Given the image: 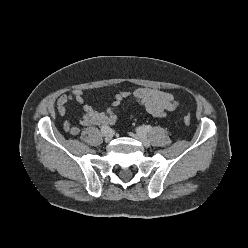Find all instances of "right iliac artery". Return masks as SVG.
<instances>
[{
    "instance_id": "obj_1",
    "label": "right iliac artery",
    "mask_w": 248,
    "mask_h": 248,
    "mask_svg": "<svg viewBox=\"0 0 248 248\" xmlns=\"http://www.w3.org/2000/svg\"><path fill=\"white\" fill-rule=\"evenodd\" d=\"M102 135L105 136L110 132V128L107 125L102 126L101 128Z\"/></svg>"
}]
</instances>
